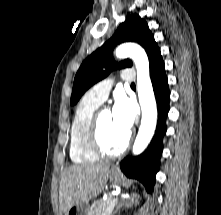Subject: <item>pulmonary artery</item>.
I'll return each instance as SVG.
<instances>
[{"label": "pulmonary artery", "instance_id": "1", "mask_svg": "<svg viewBox=\"0 0 221 215\" xmlns=\"http://www.w3.org/2000/svg\"><path fill=\"white\" fill-rule=\"evenodd\" d=\"M121 79L124 83H132L135 81V73L132 69H126L122 72ZM111 89L110 81H102L96 84L88 94L93 98L103 102L107 99Z\"/></svg>", "mask_w": 221, "mask_h": 215}]
</instances>
